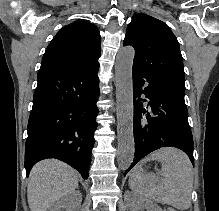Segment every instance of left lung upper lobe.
Returning <instances> with one entry per match:
<instances>
[{"mask_svg":"<svg viewBox=\"0 0 219 211\" xmlns=\"http://www.w3.org/2000/svg\"><path fill=\"white\" fill-rule=\"evenodd\" d=\"M123 45L135 49L133 68L184 97V67L179 43L162 21L144 13L128 24Z\"/></svg>","mask_w":219,"mask_h":211,"instance_id":"5c2ea615","label":"left lung upper lobe"}]
</instances>
